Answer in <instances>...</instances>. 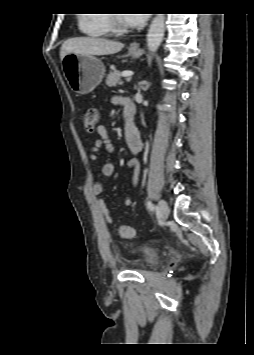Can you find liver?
<instances>
[{"label": "liver", "mask_w": 254, "mask_h": 355, "mask_svg": "<svg viewBox=\"0 0 254 355\" xmlns=\"http://www.w3.org/2000/svg\"><path fill=\"white\" fill-rule=\"evenodd\" d=\"M124 47L123 43L95 37L70 38L61 46V60L70 53L80 55H109L119 52Z\"/></svg>", "instance_id": "obj_1"}]
</instances>
